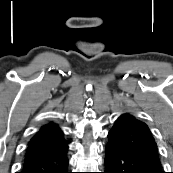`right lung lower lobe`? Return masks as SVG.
Segmentation results:
<instances>
[{"mask_svg":"<svg viewBox=\"0 0 173 173\" xmlns=\"http://www.w3.org/2000/svg\"><path fill=\"white\" fill-rule=\"evenodd\" d=\"M67 150L65 143L59 147L26 154L20 173H70Z\"/></svg>","mask_w":173,"mask_h":173,"instance_id":"98d812e1","label":"right lung lower lobe"}]
</instances>
